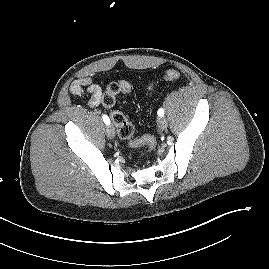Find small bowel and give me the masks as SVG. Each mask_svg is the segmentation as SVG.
<instances>
[{
    "mask_svg": "<svg viewBox=\"0 0 269 269\" xmlns=\"http://www.w3.org/2000/svg\"><path fill=\"white\" fill-rule=\"evenodd\" d=\"M69 92L74 96L89 95L90 107H97L102 100L103 92L99 85L95 84L90 77L76 79L70 86Z\"/></svg>",
    "mask_w": 269,
    "mask_h": 269,
    "instance_id": "obj_1",
    "label": "small bowel"
}]
</instances>
